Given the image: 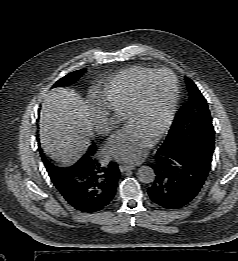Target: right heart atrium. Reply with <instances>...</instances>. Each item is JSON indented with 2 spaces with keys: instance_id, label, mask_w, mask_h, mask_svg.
Wrapping results in <instances>:
<instances>
[{
  "instance_id": "obj_1",
  "label": "right heart atrium",
  "mask_w": 238,
  "mask_h": 261,
  "mask_svg": "<svg viewBox=\"0 0 238 261\" xmlns=\"http://www.w3.org/2000/svg\"><path fill=\"white\" fill-rule=\"evenodd\" d=\"M91 121L95 131L101 136L108 135L113 130V119L103 108L92 109Z\"/></svg>"
}]
</instances>
